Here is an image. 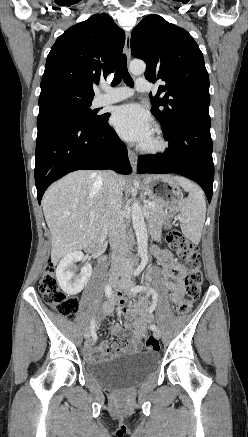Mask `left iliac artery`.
Returning <instances> with one entry per match:
<instances>
[{
	"instance_id": "44dca946",
	"label": "left iliac artery",
	"mask_w": 248,
	"mask_h": 437,
	"mask_svg": "<svg viewBox=\"0 0 248 437\" xmlns=\"http://www.w3.org/2000/svg\"><path fill=\"white\" fill-rule=\"evenodd\" d=\"M144 266H145V263L142 262V264L135 271L134 275L135 276L139 275L140 272L143 270ZM144 290L149 291L151 293V295H152L153 301H152V305L150 307V312H153L155 310L156 306H157V301H158V294H157V292L154 289H152V288H149V287H146V286H142V285H137V286H134L132 288V291L135 292V293H138V292H141V291H144ZM150 328L153 331L157 329L155 324H151Z\"/></svg>"
}]
</instances>
